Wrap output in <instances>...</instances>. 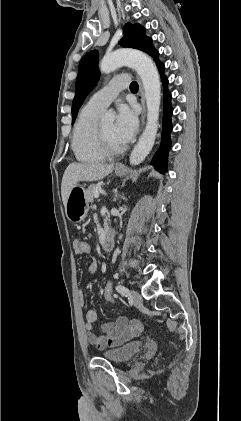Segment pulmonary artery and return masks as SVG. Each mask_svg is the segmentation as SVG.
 Segmentation results:
<instances>
[{
    "label": "pulmonary artery",
    "mask_w": 241,
    "mask_h": 421,
    "mask_svg": "<svg viewBox=\"0 0 241 421\" xmlns=\"http://www.w3.org/2000/svg\"><path fill=\"white\" fill-rule=\"evenodd\" d=\"M129 85V78L125 75L113 78L104 88L93 94L87 106L102 112L118 96L119 92Z\"/></svg>",
    "instance_id": "obj_1"
}]
</instances>
